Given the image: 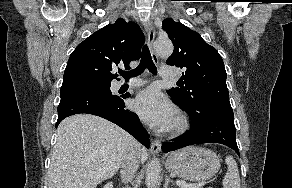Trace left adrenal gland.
Masks as SVG:
<instances>
[{
    "label": "left adrenal gland",
    "mask_w": 292,
    "mask_h": 188,
    "mask_svg": "<svg viewBox=\"0 0 292 188\" xmlns=\"http://www.w3.org/2000/svg\"><path fill=\"white\" fill-rule=\"evenodd\" d=\"M169 183H173V181L169 178L168 175H165V184H164V188H167Z\"/></svg>",
    "instance_id": "left-adrenal-gland-1"
}]
</instances>
